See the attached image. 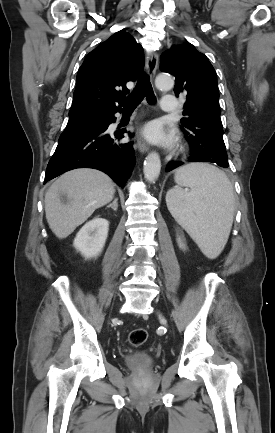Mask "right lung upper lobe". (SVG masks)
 Returning a JSON list of instances; mask_svg holds the SVG:
<instances>
[{
	"label": "right lung upper lobe",
	"instance_id": "right-lung-upper-lobe-1",
	"mask_svg": "<svg viewBox=\"0 0 275 433\" xmlns=\"http://www.w3.org/2000/svg\"><path fill=\"white\" fill-rule=\"evenodd\" d=\"M143 67V49L133 36L124 30L114 33L79 68L69 119L119 111L129 93L126 83L136 81Z\"/></svg>",
	"mask_w": 275,
	"mask_h": 433
}]
</instances>
